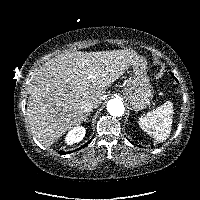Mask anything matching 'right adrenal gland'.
<instances>
[{
  "label": "right adrenal gland",
  "mask_w": 200,
  "mask_h": 200,
  "mask_svg": "<svg viewBox=\"0 0 200 200\" xmlns=\"http://www.w3.org/2000/svg\"><path fill=\"white\" fill-rule=\"evenodd\" d=\"M88 115H89V114H86L85 117H83L82 121L88 122V117H87Z\"/></svg>",
  "instance_id": "obj_1"
}]
</instances>
